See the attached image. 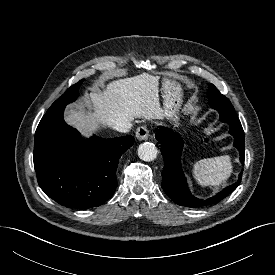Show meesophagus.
<instances>
[{
  "mask_svg": "<svg viewBox=\"0 0 275 275\" xmlns=\"http://www.w3.org/2000/svg\"><path fill=\"white\" fill-rule=\"evenodd\" d=\"M136 138L140 141L147 140L149 138V130L147 126H140L136 130Z\"/></svg>",
  "mask_w": 275,
  "mask_h": 275,
  "instance_id": "1",
  "label": "esophagus"
}]
</instances>
